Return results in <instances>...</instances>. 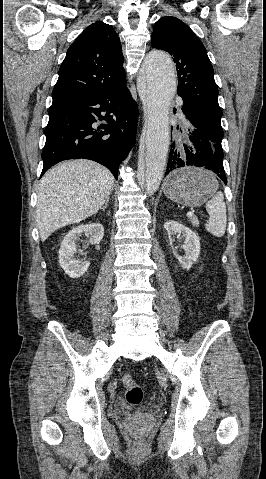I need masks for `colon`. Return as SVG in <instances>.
Masks as SVG:
<instances>
[{"instance_id": "colon-1", "label": "colon", "mask_w": 266, "mask_h": 479, "mask_svg": "<svg viewBox=\"0 0 266 479\" xmlns=\"http://www.w3.org/2000/svg\"><path fill=\"white\" fill-rule=\"evenodd\" d=\"M123 384L125 386L126 401L130 405H139L143 400L142 388L133 380L131 374L127 373L123 377Z\"/></svg>"}]
</instances>
